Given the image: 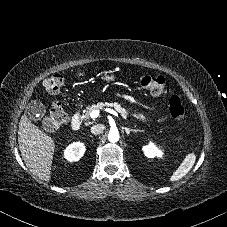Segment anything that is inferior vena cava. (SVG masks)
Masks as SVG:
<instances>
[{
	"label": "inferior vena cava",
	"mask_w": 227,
	"mask_h": 227,
	"mask_svg": "<svg viewBox=\"0 0 227 227\" xmlns=\"http://www.w3.org/2000/svg\"><path fill=\"white\" fill-rule=\"evenodd\" d=\"M105 129L103 124H96L91 127V133L94 135L101 134Z\"/></svg>",
	"instance_id": "obj_1"
}]
</instances>
